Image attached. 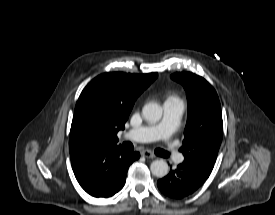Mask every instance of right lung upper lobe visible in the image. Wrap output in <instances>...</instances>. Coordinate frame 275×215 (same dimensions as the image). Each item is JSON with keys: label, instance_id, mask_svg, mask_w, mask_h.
Here are the masks:
<instances>
[{"label": "right lung upper lobe", "instance_id": "right-lung-upper-lobe-1", "mask_svg": "<svg viewBox=\"0 0 275 215\" xmlns=\"http://www.w3.org/2000/svg\"><path fill=\"white\" fill-rule=\"evenodd\" d=\"M157 73H104L82 91L70 130V158L96 145H113L124 129L137 97L155 80Z\"/></svg>", "mask_w": 275, "mask_h": 215}]
</instances>
